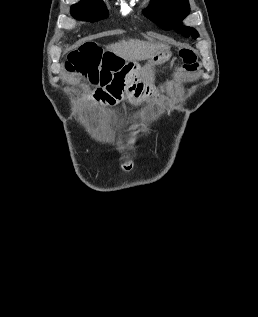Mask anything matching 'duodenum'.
Returning <instances> with one entry per match:
<instances>
[{"label": "duodenum", "mask_w": 258, "mask_h": 317, "mask_svg": "<svg viewBox=\"0 0 258 317\" xmlns=\"http://www.w3.org/2000/svg\"><path fill=\"white\" fill-rule=\"evenodd\" d=\"M137 70L132 65L120 67L100 88L92 93V100L98 104H113L133 86L137 79Z\"/></svg>", "instance_id": "410a0bca"}]
</instances>
